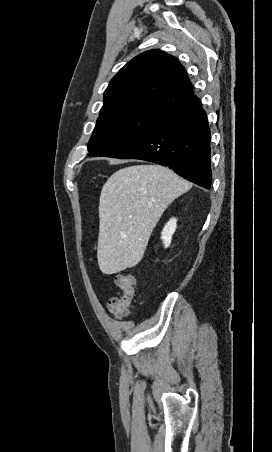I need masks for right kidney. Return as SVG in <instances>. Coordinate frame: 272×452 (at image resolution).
<instances>
[{"mask_svg": "<svg viewBox=\"0 0 272 452\" xmlns=\"http://www.w3.org/2000/svg\"><path fill=\"white\" fill-rule=\"evenodd\" d=\"M176 228H177V219L176 218H171L164 226L162 233H161V239L163 241L165 248L170 246L171 240H172V235L174 234Z\"/></svg>", "mask_w": 272, "mask_h": 452, "instance_id": "ca27d5eb", "label": "right kidney"}]
</instances>
